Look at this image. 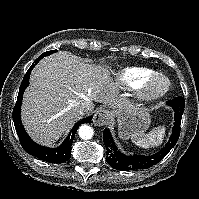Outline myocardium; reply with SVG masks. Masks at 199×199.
Listing matches in <instances>:
<instances>
[{
    "label": "myocardium",
    "instance_id": "1",
    "mask_svg": "<svg viewBox=\"0 0 199 199\" xmlns=\"http://www.w3.org/2000/svg\"><path fill=\"white\" fill-rule=\"evenodd\" d=\"M170 89V80L165 75L156 73L142 85L140 95L146 100H156L165 96Z\"/></svg>",
    "mask_w": 199,
    "mask_h": 199
}]
</instances>
